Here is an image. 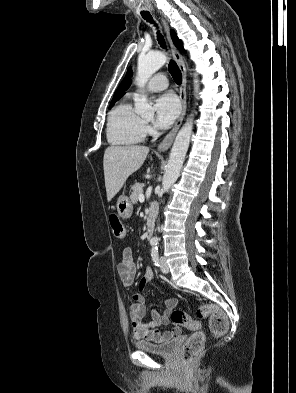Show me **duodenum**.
Instances as JSON below:
<instances>
[{"label": "duodenum", "instance_id": "410a0bca", "mask_svg": "<svg viewBox=\"0 0 296 393\" xmlns=\"http://www.w3.org/2000/svg\"><path fill=\"white\" fill-rule=\"evenodd\" d=\"M158 212V206L156 204H153L150 206L148 210V221H147V235L148 237H151L152 232H153V225H154V220Z\"/></svg>", "mask_w": 296, "mask_h": 393}]
</instances>
